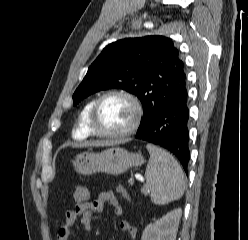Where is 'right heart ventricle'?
Listing matches in <instances>:
<instances>
[{
	"mask_svg": "<svg viewBox=\"0 0 248 240\" xmlns=\"http://www.w3.org/2000/svg\"><path fill=\"white\" fill-rule=\"evenodd\" d=\"M95 101L96 100L92 98L88 100L82 107L78 115L76 125L72 131V136L74 139L84 140L92 135L89 120H90L91 110Z\"/></svg>",
	"mask_w": 248,
	"mask_h": 240,
	"instance_id": "obj_1",
	"label": "right heart ventricle"
}]
</instances>
